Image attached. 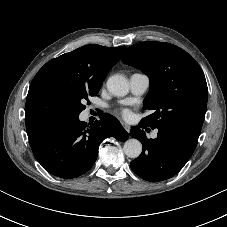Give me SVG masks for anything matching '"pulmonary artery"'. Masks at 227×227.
<instances>
[{"mask_svg": "<svg viewBox=\"0 0 227 227\" xmlns=\"http://www.w3.org/2000/svg\"><path fill=\"white\" fill-rule=\"evenodd\" d=\"M150 84V80L147 75L143 73H134L129 78V85L132 94L140 96L144 94ZM156 135V133L154 134Z\"/></svg>", "mask_w": 227, "mask_h": 227, "instance_id": "obj_1", "label": "pulmonary artery"}]
</instances>
